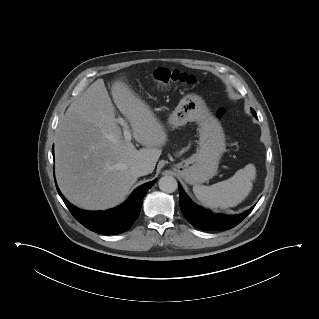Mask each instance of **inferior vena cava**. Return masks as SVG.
<instances>
[{"label": "inferior vena cava", "instance_id": "1", "mask_svg": "<svg viewBox=\"0 0 319 319\" xmlns=\"http://www.w3.org/2000/svg\"><path fill=\"white\" fill-rule=\"evenodd\" d=\"M131 171L138 177L150 173V166L147 162H139L131 167Z\"/></svg>", "mask_w": 319, "mask_h": 319}]
</instances>
